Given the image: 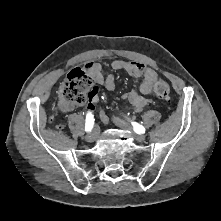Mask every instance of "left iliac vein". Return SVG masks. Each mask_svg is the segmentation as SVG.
<instances>
[{
	"instance_id": "4c4485c4",
	"label": "left iliac vein",
	"mask_w": 221,
	"mask_h": 221,
	"mask_svg": "<svg viewBox=\"0 0 221 221\" xmlns=\"http://www.w3.org/2000/svg\"><path fill=\"white\" fill-rule=\"evenodd\" d=\"M113 121H114V123H115L118 127L122 128V129H125V130H127V131H131V132L133 131V128H132V126H131L130 124H128V123H126V122H124V121H122V120H120V119H117V118H114ZM134 138H135L138 142H143V141L145 140V136L142 135V134H136V133H134Z\"/></svg>"
}]
</instances>
